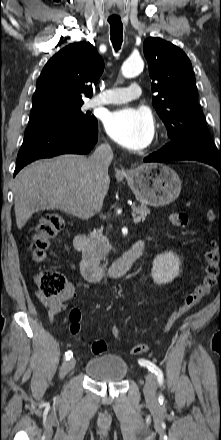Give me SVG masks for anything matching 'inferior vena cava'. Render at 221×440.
Wrapping results in <instances>:
<instances>
[{
  "label": "inferior vena cava",
  "instance_id": "602c4592",
  "mask_svg": "<svg viewBox=\"0 0 221 440\" xmlns=\"http://www.w3.org/2000/svg\"><path fill=\"white\" fill-rule=\"evenodd\" d=\"M112 159L113 151L106 143L98 146L93 154L89 157V164L95 181L92 192V199L94 200L95 204L99 203V189L103 180L108 178V167Z\"/></svg>",
  "mask_w": 221,
  "mask_h": 440
}]
</instances>
